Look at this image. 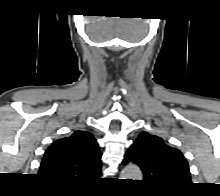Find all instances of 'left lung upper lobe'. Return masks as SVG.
Here are the masks:
<instances>
[{"label": "left lung upper lobe", "mask_w": 220, "mask_h": 196, "mask_svg": "<svg viewBox=\"0 0 220 196\" xmlns=\"http://www.w3.org/2000/svg\"><path fill=\"white\" fill-rule=\"evenodd\" d=\"M128 162L140 166L144 182L161 193L177 192L192 183L183 154L147 132H142L125 154L123 163Z\"/></svg>", "instance_id": "obj_1"}]
</instances>
